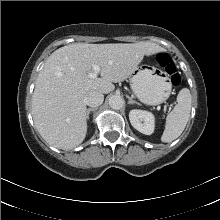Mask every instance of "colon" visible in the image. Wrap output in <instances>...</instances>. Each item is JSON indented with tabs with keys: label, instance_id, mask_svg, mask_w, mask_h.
I'll use <instances>...</instances> for the list:
<instances>
[{
	"label": "colon",
	"instance_id": "1",
	"mask_svg": "<svg viewBox=\"0 0 220 220\" xmlns=\"http://www.w3.org/2000/svg\"><path fill=\"white\" fill-rule=\"evenodd\" d=\"M156 61L169 75L171 83L174 86H178L181 82V77L172 58L167 53H158Z\"/></svg>",
	"mask_w": 220,
	"mask_h": 220
}]
</instances>
